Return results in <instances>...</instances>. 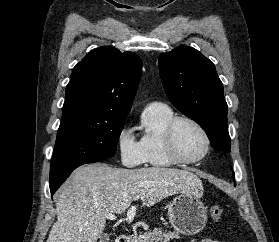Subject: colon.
Here are the masks:
<instances>
[{
    "mask_svg": "<svg viewBox=\"0 0 279 242\" xmlns=\"http://www.w3.org/2000/svg\"><path fill=\"white\" fill-rule=\"evenodd\" d=\"M210 217L211 219L218 223L221 221L222 217H223V209L220 205H213L210 208Z\"/></svg>",
    "mask_w": 279,
    "mask_h": 242,
    "instance_id": "1",
    "label": "colon"
}]
</instances>
